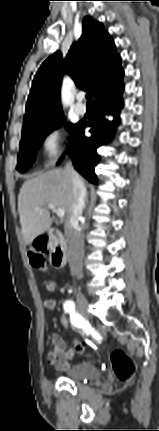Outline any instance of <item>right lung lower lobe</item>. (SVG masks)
Listing matches in <instances>:
<instances>
[{"label": "right lung lower lobe", "instance_id": "98d812e1", "mask_svg": "<svg viewBox=\"0 0 159 431\" xmlns=\"http://www.w3.org/2000/svg\"><path fill=\"white\" fill-rule=\"evenodd\" d=\"M123 90V75L100 89L94 96L92 120L88 123L80 121L68 143V154L73 159L75 169L92 184H97L98 181L95 174V166L100 161L97 148L107 144L113 138L114 130L119 124L118 116L123 106L120 101ZM109 114L114 115L113 121H108L105 118ZM86 126L91 127L92 136L89 138L84 137ZM63 157L60 158L59 162Z\"/></svg>", "mask_w": 159, "mask_h": 431}]
</instances>
